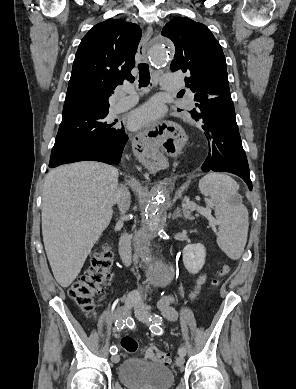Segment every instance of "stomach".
I'll return each mask as SVG.
<instances>
[{
	"label": "stomach",
	"instance_id": "0dacf381",
	"mask_svg": "<svg viewBox=\"0 0 296 389\" xmlns=\"http://www.w3.org/2000/svg\"><path fill=\"white\" fill-rule=\"evenodd\" d=\"M151 172H152L154 175H157V174L160 172V169H151Z\"/></svg>",
	"mask_w": 296,
	"mask_h": 389
}]
</instances>
